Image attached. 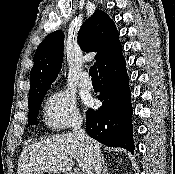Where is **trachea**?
Instances as JSON below:
<instances>
[{
  "instance_id": "obj_1",
  "label": "trachea",
  "mask_w": 175,
  "mask_h": 174,
  "mask_svg": "<svg viewBox=\"0 0 175 174\" xmlns=\"http://www.w3.org/2000/svg\"><path fill=\"white\" fill-rule=\"evenodd\" d=\"M89 75L92 77V80H100L98 76V71L96 65H93L89 70Z\"/></svg>"
}]
</instances>
